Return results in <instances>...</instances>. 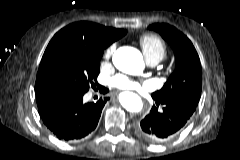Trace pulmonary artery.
Instances as JSON below:
<instances>
[{
	"instance_id": "1",
	"label": "pulmonary artery",
	"mask_w": 240,
	"mask_h": 160,
	"mask_svg": "<svg viewBox=\"0 0 240 160\" xmlns=\"http://www.w3.org/2000/svg\"><path fill=\"white\" fill-rule=\"evenodd\" d=\"M146 60H147V63H148L149 65H151V66L156 65V64L160 61V59L155 58V57L146 58Z\"/></svg>"
}]
</instances>
